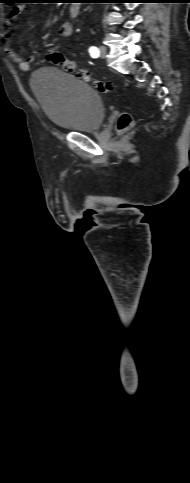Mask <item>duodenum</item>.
<instances>
[{
  "label": "duodenum",
  "mask_w": 190,
  "mask_h": 483,
  "mask_svg": "<svg viewBox=\"0 0 190 483\" xmlns=\"http://www.w3.org/2000/svg\"><path fill=\"white\" fill-rule=\"evenodd\" d=\"M79 5L77 2H73L69 7V14L72 18H75L79 14Z\"/></svg>",
  "instance_id": "obj_1"
}]
</instances>
